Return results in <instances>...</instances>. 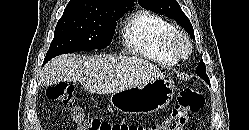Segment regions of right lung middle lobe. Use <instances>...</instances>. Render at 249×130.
<instances>
[{
	"instance_id": "1",
	"label": "right lung middle lobe",
	"mask_w": 249,
	"mask_h": 130,
	"mask_svg": "<svg viewBox=\"0 0 249 130\" xmlns=\"http://www.w3.org/2000/svg\"><path fill=\"white\" fill-rule=\"evenodd\" d=\"M132 7L133 4L110 5L91 12L65 9L44 63L64 53L106 48L112 41L116 20Z\"/></svg>"
}]
</instances>
